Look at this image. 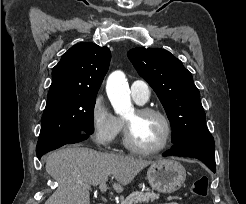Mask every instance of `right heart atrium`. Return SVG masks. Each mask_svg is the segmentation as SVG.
Returning a JSON list of instances; mask_svg holds the SVG:
<instances>
[{
    "mask_svg": "<svg viewBox=\"0 0 246 204\" xmlns=\"http://www.w3.org/2000/svg\"><path fill=\"white\" fill-rule=\"evenodd\" d=\"M91 137L96 145L108 148L121 131V121L113 114L102 94H97L90 109Z\"/></svg>",
    "mask_w": 246,
    "mask_h": 204,
    "instance_id": "1",
    "label": "right heart atrium"
}]
</instances>
